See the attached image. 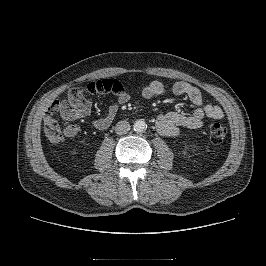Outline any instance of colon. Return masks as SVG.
Returning a JSON list of instances; mask_svg holds the SVG:
<instances>
[{
	"label": "colon",
	"mask_w": 266,
	"mask_h": 266,
	"mask_svg": "<svg viewBox=\"0 0 266 266\" xmlns=\"http://www.w3.org/2000/svg\"><path fill=\"white\" fill-rule=\"evenodd\" d=\"M123 90V85L118 80L104 78L74 87L70 91L69 95L75 97L84 94L93 95L97 93L111 92L120 94ZM44 124L45 129L48 132H56L58 129V118L56 116V111H53L51 108L48 110L44 119ZM208 133L211 143L214 145H219L224 141L227 130L222 124L213 122L209 125Z\"/></svg>",
	"instance_id": "1"
}]
</instances>
